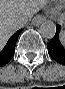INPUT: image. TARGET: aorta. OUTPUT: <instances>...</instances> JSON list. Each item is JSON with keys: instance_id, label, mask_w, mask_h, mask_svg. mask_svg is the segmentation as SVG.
<instances>
[{"instance_id": "obj_1", "label": "aorta", "mask_w": 65, "mask_h": 89, "mask_svg": "<svg viewBox=\"0 0 65 89\" xmlns=\"http://www.w3.org/2000/svg\"><path fill=\"white\" fill-rule=\"evenodd\" d=\"M56 33V25L52 21H44L40 26V34L45 39H52Z\"/></svg>"}]
</instances>
